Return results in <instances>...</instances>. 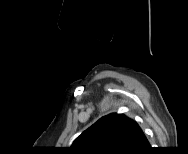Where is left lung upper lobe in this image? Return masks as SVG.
Masks as SVG:
<instances>
[{
	"label": "left lung upper lobe",
	"mask_w": 188,
	"mask_h": 154,
	"mask_svg": "<svg viewBox=\"0 0 188 154\" xmlns=\"http://www.w3.org/2000/svg\"><path fill=\"white\" fill-rule=\"evenodd\" d=\"M136 122L124 114L100 118L78 136L71 149L81 154H125L130 151Z\"/></svg>",
	"instance_id": "left-lung-upper-lobe-1"
}]
</instances>
